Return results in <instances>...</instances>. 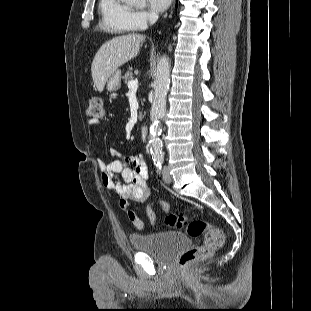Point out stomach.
Here are the masks:
<instances>
[{
    "label": "stomach",
    "mask_w": 311,
    "mask_h": 311,
    "mask_svg": "<svg viewBox=\"0 0 311 311\" xmlns=\"http://www.w3.org/2000/svg\"><path fill=\"white\" fill-rule=\"evenodd\" d=\"M121 87V72L115 71L107 80L108 91H116Z\"/></svg>",
    "instance_id": "1"
}]
</instances>
